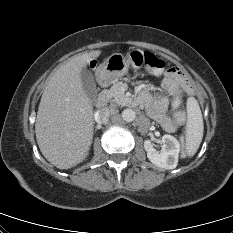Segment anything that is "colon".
Returning a JSON list of instances; mask_svg holds the SVG:
<instances>
[{
    "mask_svg": "<svg viewBox=\"0 0 233 233\" xmlns=\"http://www.w3.org/2000/svg\"><path fill=\"white\" fill-rule=\"evenodd\" d=\"M143 61L145 64V68L149 74L154 76H160L161 74H163L165 70V62L162 58L152 53L145 52L143 54ZM172 106L175 109L180 106V99L178 97L175 98ZM182 156H186V151H182Z\"/></svg>",
    "mask_w": 233,
    "mask_h": 233,
    "instance_id": "1",
    "label": "colon"
}]
</instances>
